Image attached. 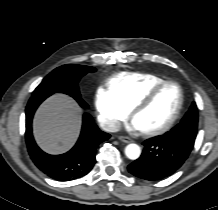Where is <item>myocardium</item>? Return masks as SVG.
I'll list each match as a JSON object with an SVG mask.
<instances>
[{"label":"myocardium","mask_w":218,"mask_h":210,"mask_svg":"<svg viewBox=\"0 0 218 210\" xmlns=\"http://www.w3.org/2000/svg\"><path fill=\"white\" fill-rule=\"evenodd\" d=\"M169 84H173L176 85L178 90H179V103L177 106V109L174 113V115L172 116V118L162 127L158 128V129H154V130H149V131H140V134L145 136V137H155V136H159L162 135L166 132H168L178 121L182 110H183V106H184V90L183 87L181 86L180 83H178L175 80H164L160 83H158L157 85H155L154 87H152L132 108L131 110V118L134 119V117L136 116V114L138 112H140L141 110H143L144 108L148 107L152 101L155 99V97L157 96V94L167 85Z\"/></svg>","instance_id":"f54148a6"}]
</instances>
